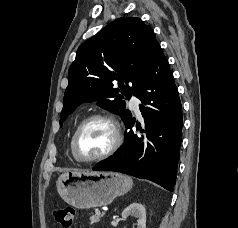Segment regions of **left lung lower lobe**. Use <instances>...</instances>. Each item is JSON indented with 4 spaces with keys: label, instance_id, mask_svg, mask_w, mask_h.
<instances>
[{
    "label": "left lung lower lobe",
    "instance_id": "1",
    "mask_svg": "<svg viewBox=\"0 0 238 228\" xmlns=\"http://www.w3.org/2000/svg\"><path fill=\"white\" fill-rule=\"evenodd\" d=\"M135 96L142 102L139 107L144 117V135L132 130L135 118L131 114L124 122L127 131L122 147L93 170L148 179L173 191L182 139V106L161 48L148 64Z\"/></svg>",
    "mask_w": 238,
    "mask_h": 228
}]
</instances>
